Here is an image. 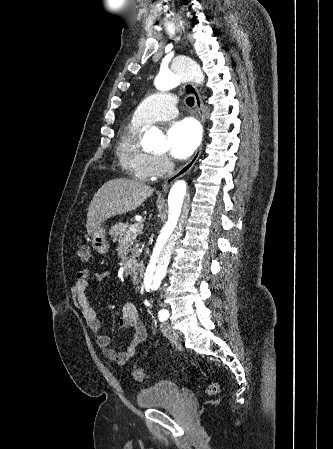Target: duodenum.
Listing matches in <instances>:
<instances>
[{
  "label": "duodenum",
  "mask_w": 333,
  "mask_h": 449,
  "mask_svg": "<svg viewBox=\"0 0 333 449\" xmlns=\"http://www.w3.org/2000/svg\"><path fill=\"white\" fill-rule=\"evenodd\" d=\"M129 273H130V276H131V279H132V283L135 286H138L140 284L141 278H142V268L139 265L132 266L130 268Z\"/></svg>",
  "instance_id": "duodenum-1"
}]
</instances>
